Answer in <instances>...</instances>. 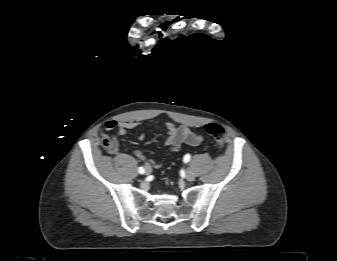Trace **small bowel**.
Here are the masks:
<instances>
[{"instance_id":"small-bowel-1","label":"small bowel","mask_w":337,"mask_h":261,"mask_svg":"<svg viewBox=\"0 0 337 261\" xmlns=\"http://www.w3.org/2000/svg\"><path fill=\"white\" fill-rule=\"evenodd\" d=\"M140 126V123L137 121H116L109 120L105 123V129L107 131H114V140L110 147V152L118 153L119 152V143L118 139L137 127ZM164 128L168 134L165 140V146L169 151H177L183 144L197 146L202 142V136L198 133L191 131L186 126H176L173 123H166ZM140 139L144 138V135L139 136ZM135 156L140 160H145L146 155L141 149H136L134 151ZM161 163L157 160H148L145 163L146 169L149 168L152 170L153 168L160 167Z\"/></svg>"}]
</instances>
